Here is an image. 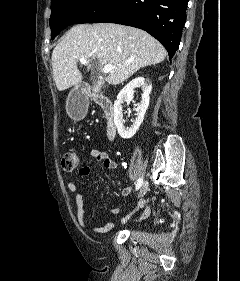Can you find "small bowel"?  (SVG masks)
<instances>
[{
  "instance_id": "c3829d8e",
  "label": "small bowel",
  "mask_w": 240,
  "mask_h": 281,
  "mask_svg": "<svg viewBox=\"0 0 240 281\" xmlns=\"http://www.w3.org/2000/svg\"><path fill=\"white\" fill-rule=\"evenodd\" d=\"M90 157L94 161L101 163L105 169L115 170L118 167L117 162L113 158H111L109 156V154L105 151H101L98 149H92L90 151ZM91 172H92V168L89 165H83L79 169V175L81 177H87L91 174ZM67 188L73 194V197H74V201H75V205H76L77 219L82 226H85V205H84L82 194L78 190V186L75 182H69L67 184ZM119 193L121 196H128L131 193V188L130 187L123 188L120 190ZM120 209H121V206L119 205V206L111 209L110 213L113 215H116L120 212ZM139 209H144L141 219L148 217V215L150 213V207L146 200H142L138 203V206L135 209V211H137ZM131 215H132V213L123 215L120 218L121 223L127 222L129 220V218L131 217ZM113 228H114V223H112V222H108L105 225L100 226V227H96V226L87 227V229L89 231L94 232V233H107V232L113 230Z\"/></svg>"
}]
</instances>
